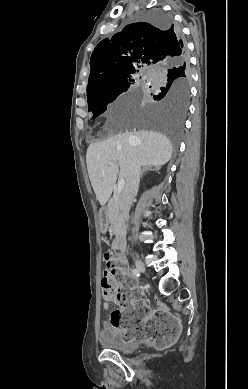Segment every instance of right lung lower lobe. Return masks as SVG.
Here are the masks:
<instances>
[{
	"mask_svg": "<svg viewBox=\"0 0 248 389\" xmlns=\"http://www.w3.org/2000/svg\"><path fill=\"white\" fill-rule=\"evenodd\" d=\"M178 37H179V40H178V43L181 44V41H182V36L180 34V32H178ZM181 47H178L176 50L180 49Z\"/></svg>",
	"mask_w": 248,
	"mask_h": 389,
	"instance_id": "1",
	"label": "right lung lower lobe"
}]
</instances>
